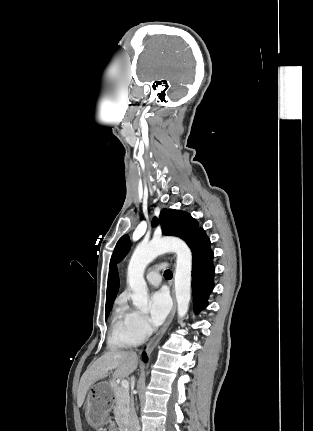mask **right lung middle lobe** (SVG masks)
I'll list each match as a JSON object with an SVG mask.
<instances>
[{
	"label": "right lung middle lobe",
	"instance_id": "1",
	"mask_svg": "<svg viewBox=\"0 0 313 431\" xmlns=\"http://www.w3.org/2000/svg\"><path fill=\"white\" fill-rule=\"evenodd\" d=\"M111 308H112V306L106 308V317H107L108 313L111 311Z\"/></svg>",
	"mask_w": 313,
	"mask_h": 431
}]
</instances>
